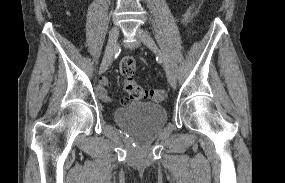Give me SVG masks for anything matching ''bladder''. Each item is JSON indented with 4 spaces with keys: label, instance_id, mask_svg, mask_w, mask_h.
<instances>
[{
    "label": "bladder",
    "instance_id": "31cf9c89",
    "mask_svg": "<svg viewBox=\"0 0 285 183\" xmlns=\"http://www.w3.org/2000/svg\"><path fill=\"white\" fill-rule=\"evenodd\" d=\"M114 118L119 125L127 129L142 134H152L164 125L167 112L160 104L132 103L117 108Z\"/></svg>",
    "mask_w": 285,
    "mask_h": 183
}]
</instances>
